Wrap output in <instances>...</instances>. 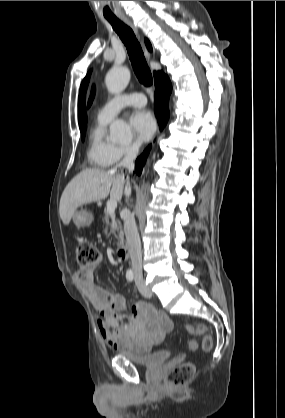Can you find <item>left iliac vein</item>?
Masks as SVG:
<instances>
[{
    "mask_svg": "<svg viewBox=\"0 0 285 418\" xmlns=\"http://www.w3.org/2000/svg\"><path fill=\"white\" fill-rule=\"evenodd\" d=\"M136 285L140 293L147 298H150L152 296V292L150 289L145 285L143 279L137 278L136 279Z\"/></svg>",
    "mask_w": 285,
    "mask_h": 418,
    "instance_id": "left-iliac-vein-1",
    "label": "left iliac vein"
}]
</instances>
